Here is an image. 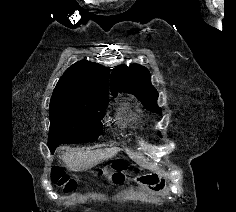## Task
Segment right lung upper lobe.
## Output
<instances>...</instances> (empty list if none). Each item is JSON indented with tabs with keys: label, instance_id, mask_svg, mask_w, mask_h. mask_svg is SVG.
<instances>
[{
	"label": "right lung upper lobe",
	"instance_id": "right-lung-upper-lobe-1",
	"mask_svg": "<svg viewBox=\"0 0 236 212\" xmlns=\"http://www.w3.org/2000/svg\"><path fill=\"white\" fill-rule=\"evenodd\" d=\"M109 72L107 67L97 63L76 62L59 79L50 103L91 106L108 99Z\"/></svg>",
	"mask_w": 236,
	"mask_h": 212
}]
</instances>
